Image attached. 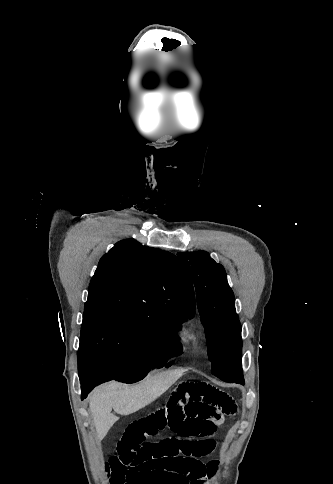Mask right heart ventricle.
Masks as SVG:
<instances>
[{
	"label": "right heart ventricle",
	"instance_id": "right-heart-ventricle-1",
	"mask_svg": "<svg viewBox=\"0 0 333 484\" xmlns=\"http://www.w3.org/2000/svg\"><path fill=\"white\" fill-rule=\"evenodd\" d=\"M184 336L194 346L197 345V343H198V333L194 329H186Z\"/></svg>",
	"mask_w": 333,
	"mask_h": 484
}]
</instances>
